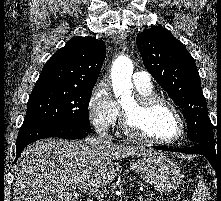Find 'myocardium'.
Listing matches in <instances>:
<instances>
[{"mask_svg":"<svg viewBox=\"0 0 221 201\" xmlns=\"http://www.w3.org/2000/svg\"><path fill=\"white\" fill-rule=\"evenodd\" d=\"M157 104H164L168 106L177 117L180 124V131L178 136H176L173 139L164 140L146 135L140 130V128L135 123L132 113L124 107L122 108L121 114V127L123 131L132 138L142 140L148 143L159 145H170L177 143L184 137L186 133V122L179 108L171 100L157 94L138 95L135 98V109L137 112L140 113L149 110L151 107Z\"/></svg>","mask_w":221,"mask_h":201,"instance_id":"1","label":"myocardium"}]
</instances>
